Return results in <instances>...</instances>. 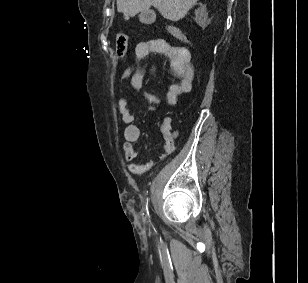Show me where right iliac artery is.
Returning a JSON list of instances; mask_svg holds the SVG:
<instances>
[{
    "label": "right iliac artery",
    "instance_id": "obj_1",
    "mask_svg": "<svg viewBox=\"0 0 308 283\" xmlns=\"http://www.w3.org/2000/svg\"><path fill=\"white\" fill-rule=\"evenodd\" d=\"M146 212H147V214L149 215V212H148V208H147V205H146Z\"/></svg>",
    "mask_w": 308,
    "mask_h": 283
}]
</instances>
